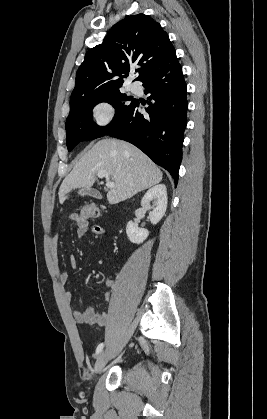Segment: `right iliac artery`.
Segmentation results:
<instances>
[{"label": "right iliac artery", "instance_id": "obj_1", "mask_svg": "<svg viewBox=\"0 0 267 419\" xmlns=\"http://www.w3.org/2000/svg\"><path fill=\"white\" fill-rule=\"evenodd\" d=\"M103 347H104V344L103 343H100L97 346V348H96V355L99 354L102 351Z\"/></svg>", "mask_w": 267, "mask_h": 419}]
</instances>
